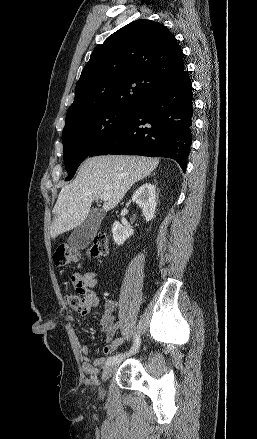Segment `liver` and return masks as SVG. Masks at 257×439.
I'll return each instance as SVG.
<instances>
[{"label": "liver", "instance_id": "6515ba94", "mask_svg": "<svg viewBox=\"0 0 257 439\" xmlns=\"http://www.w3.org/2000/svg\"><path fill=\"white\" fill-rule=\"evenodd\" d=\"M158 159L140 156L107 155L86 159L74 181L63 187L54 206L51 237L70 231L87 218L91 204L103 193L110 195L102 207L113 209L130 187L150 175Z\"/></svg>", "mask_w": 257, "mask_h": 439}]
</instances>
